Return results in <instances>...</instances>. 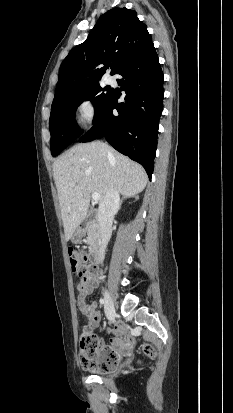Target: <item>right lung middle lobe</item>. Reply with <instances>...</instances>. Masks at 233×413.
Here are the masks:
<instances>
[{
	"label": "right lung middle lobe",
	"instance_id": "obj_1",
	"mask_svg": "<svg viewBox=\"0 0 233 413\" xmlns=\"http://www.w3.org/2000/svg\"><path fill=\"white\" fill-rule=\"evenodd\" d=\"M99 85H92L76 94L65 97L57 102L52 103L49 120V129L51 134V154L56 156L64 150L73 140L82 134V131L75 123V111L84 100H91L95 106V119L101 113L107 104L111 90Z\"/></svg>",
	"mask_w": 233,
	"mask_h": 413
}]
</instances>
